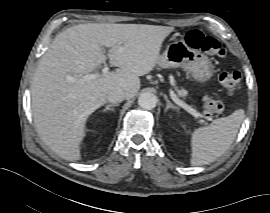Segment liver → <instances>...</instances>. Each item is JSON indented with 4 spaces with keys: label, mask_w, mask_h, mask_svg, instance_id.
Segmentation results:
<instances>
[{
    "label": "liver",
    "mask_w": 270,
    "mask_h": 213,
    "mask_svg": "<svg viewBox=\"0 0 270 213\" xmlns=\"http://www.w3.org/2000/svg\"><path fill=\"white\" fill-rule=\"evenodd\" d=\"M173 27L145 24L87 23L58 34L39 61L31 87L34 123L44 143L62 158L81 159L80 144L88 117L122 90L127 99L140 89V76L158 64L162 44ZM110 47L113 72L96 69ZM94 75L92 79H84ZM71 76L73 81H69Z\"/></svg>",
    "instance_id": "liver-1"
}]
</instances>
